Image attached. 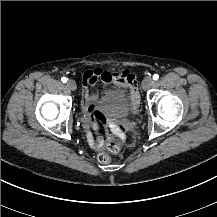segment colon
I'll list each match as a JSON object with an SVG mask.
<instances>
[{
    "label": "colon",
    "mask_w": 217,
    "mask_h": 217,
    "mask_svg": "<svg viewBox=\"0 0 217 217\" xmlns=\"http://www.w3.org/2000/svg\"><path fill=\"white\" fill-rule=\"evenodd\" d=\"M121 148L122 144H116L115 142H112L108 144L105 150L97 156V159L100 162H106L108 161L110 154H117L121 150Z\"/></svg>",
    "instance_id": "colon-1"
}]
</instances>
